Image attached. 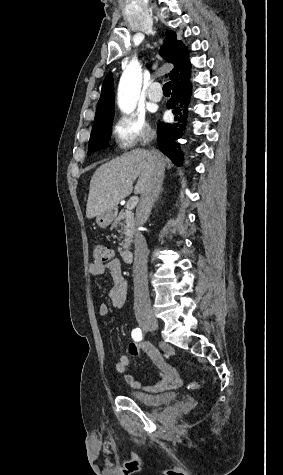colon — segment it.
Wrapping results in <instances>:
<instances>
[{
	"mask_svg": "<svg viewBox=\"0 0 283 475\" xmlns=\"http://www.w3.org/2000/svg\"><path fill=\"white\" fill-rule=\"evenodd\" d=\"M91 254L93 257L94 267L111 264L114 258L113 250L100 243H94L91 246Z\"/></svg>",
	"mask_w": 283,
	"mask_h": 475,
	"instance_id": "colon-1",
	"label": "colon"
}]
</instances>
